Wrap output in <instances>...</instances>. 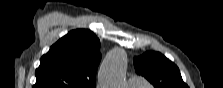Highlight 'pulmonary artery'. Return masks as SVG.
I'll return each mask as SVG.
<instances>
[{"label":"pulmonary artery","instance_id":"obj_1","mask_svg":"<svg viewBox=\"0 0 223 88\" xmlns=\"http://www.w3.org/2000/svg\"><path fill=\"white\" fill-rule=\"evenodd\" d=\"M129 84L133 88H138V87H145L147 86V82L145 81L144 78L140 76H131L129 78Z\"/></svg>","mask_w":223,"mask_h":88}]
</instances>
